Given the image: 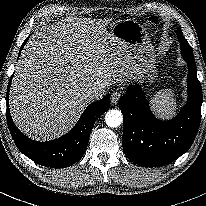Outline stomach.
<instances>
[{
	"instance_id": "1",
	"label": "stomach",
	"mask_w": 206,
	"mask_h": 206,
	"mask_svg": "<svg viewBox=\"0 0 206 206\" xmlns=\"http://www.w3.org/2000/svg\"><path fill=\"white\" fill-rule=\"evenodd\" d=\"M111 34L132 52L138 67V79L153 84L157 77L156 55L146 29L137 21L127 19L116 22L111 27Z\"/></svg>"
}]
</instances>
